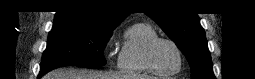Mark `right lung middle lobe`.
I'll use <instances>...</instances> for the list:
<instances>
[{"mask_svg": "<svg viewBox=\"0 0 255 79\" xmlns=\"http://www.w3.org/2000/svg\"><path fill=\"white\" fill-rule=\"evenodd\" d=\"M111 34L112 30L54 25L43 53L39 76L61 66H104L103 49Z\"/></svg>", "mask_w": 255, "mask_h": 79, "instance_id": "1", "label": "right lung middle lobe"}]
</instances>
